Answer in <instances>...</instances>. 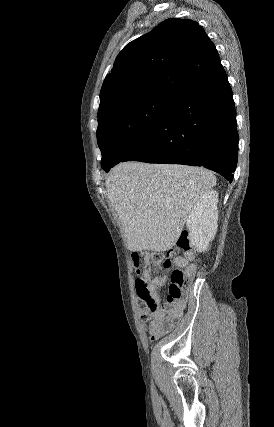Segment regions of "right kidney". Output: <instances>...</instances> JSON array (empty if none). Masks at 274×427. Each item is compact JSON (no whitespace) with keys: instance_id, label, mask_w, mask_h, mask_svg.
Wrapping results in <instances>:
<instances>
[{"instance_id":"1","label":"right kidney","mask_w":274,"mask_h":427,"mask_svg":"<svg viewBox=\"0 0 274 427\" xmlns=\"http://www.w3.org/2000/svg\"><path fill=\"white\" fill-rule=\"evenodd\" d=\"M218 194L209 190L200 196L186 219L188 239L197 251H207L210 241L214 239L218 221Z\"/></svg>"}]
</instances>
